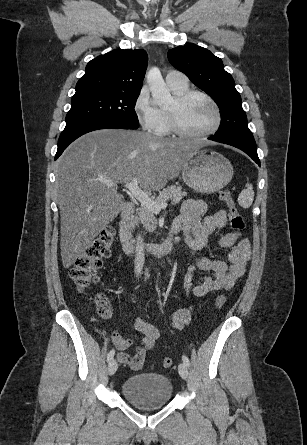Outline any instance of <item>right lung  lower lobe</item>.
<instances>
[{
  "label": "right lung lower lobe",
  "instance_id": "right-lung-lower-lobe-1",
  "mask_svg": "<svg viewBox=\"0 0 307 445\" xmlns=\"http://www.w3.org/2000/svg\"><path fill=\"white\" fill-rule=\"evenodd\" d=\"M127 125L109 120H85L66 124L58 140L55 160L63 153L67 146L81 135L98 129H127Z\"/></svg>",
  "mask_w": 307,
  "mask_h": 445
}]
</instances>
